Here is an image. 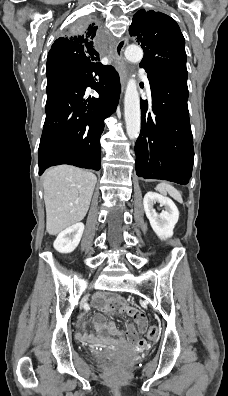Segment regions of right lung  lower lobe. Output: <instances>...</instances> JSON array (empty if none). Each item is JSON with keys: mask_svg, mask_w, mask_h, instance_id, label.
<instances>
[{"mask_svg": "<svg viewBox=\"0 0 228 396\" xmlns=\"http://www.w3.org/2000/svg\"><path fill=\"white\" fill-rule=\"evenodd\" d=\"M87 87L94 88L99 98H86ZM119 96V75L110 65H77L48 91L39 175L59 164L99 170L104 119L116 110Z\"/></svg>", "mask_w": 228, "mask_h": 396, "instance_id": "98d812e1", "label": "right lung lower lobe"}]
</instances>
